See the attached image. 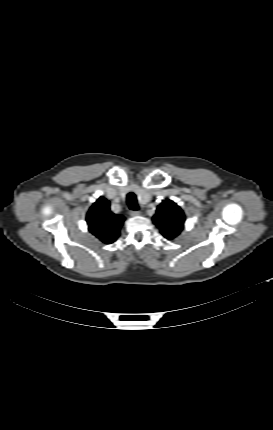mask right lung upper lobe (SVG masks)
<instances>
[{"label":"right lung upper lobe","instance_id":"obj_1","mask_svg":"<svg viewBox=\"0 0 273 430\" xmlns=\"http://www.w3.org/2000/svg\"><path fill=\"white\" fill-rule=\"evenodd\" d=\"M89 231L104 243L114 242L118 235L120 226L124 221L122 215L110 211V203L104 197H100L87 213Z\"/></svg>","mask_w":273,"mask_h":430}]
</instances>
